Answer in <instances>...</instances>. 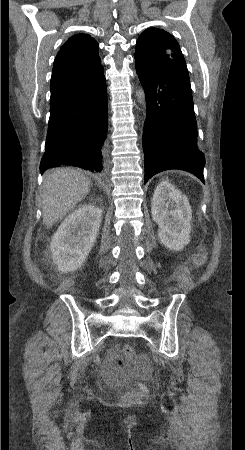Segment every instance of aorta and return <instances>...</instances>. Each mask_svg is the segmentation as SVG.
Here are the masks:
<instances>
[{
  "label": "aorta",
  "instance_id": "1",
  "mask_svg": "<svg viewBox=\"0 0 245 450\" xmlns=\"http://www.w3.org/2000/svg\"><path fill=\"white\" fill-rule=\"evenodd\" d=\"M136 96H137V98H138V102H139L140 104L145 105V94H144V91H143L142 89H139V90L136 92Z\"/></svg>",
  "mask_w": 245,
  "mask_h": 450
}]
</instances>
